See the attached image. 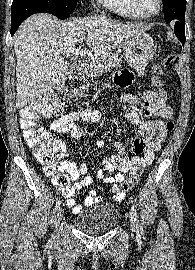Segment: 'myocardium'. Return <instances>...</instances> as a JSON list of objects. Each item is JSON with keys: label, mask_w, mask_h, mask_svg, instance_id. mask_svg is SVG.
I'll use <instances>...</instances> for the list:
<instances>
[{"label": "myocardium", "mask_w": 195, "mask_h": 270, "mask_svg": "<svg viewBox=\"0 0 195 270\" xmlns=\"http://www.w3.org/2000/svg\"><path fill=\"white\" fill-rule=\"evenodd\" d=\"M133 1V4L135 6V8L141 13L143 14L146 18L147 17H152V16H155L157 15L161 9H162V4H163V1L162 0H156L157 2V7L154 11H147L143 8L142 4H141V1L140 0H132Z\"/></svg>", "instance_id": "f54148a6"}]
</instances>
